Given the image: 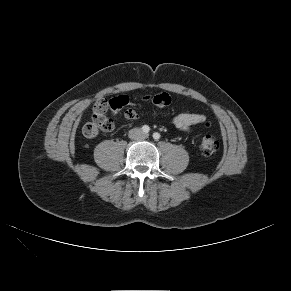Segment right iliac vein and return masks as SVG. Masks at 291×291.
I'll return each instance as SVG.
<instances>
[{
  "label": "right iliac vein",
  "mask_w": 291,
  "mask_h": 291,
  "mask_svg": "<svg viewBox=\"0 0 291 291\" xmlns=\"http://www.w3.org/2000/svg\"><path fill=\"white\" fill-rule=\"evenodd\" d=\"M139 134V131L137 129H134L130 132V136L131 137H137Z\"/></svg>",
  "instance_id": "63e3f726"
}]
</instances>
